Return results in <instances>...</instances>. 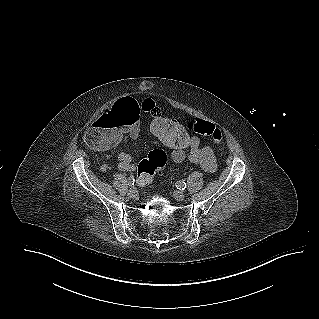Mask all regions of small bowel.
Here are the masks:
<instances>
[{
    "mask_svg": "<svg viewBox=\"0 0 319 319\" xmlns=\"http://www.w3.org/2000/svg\"><path fill=\"white\" fill-rule=\"evenodd\" d=\"M140 111L149 114L150 117L156 113H162L160 105L151 99H146L142 103L132 97L113 101V108H107L106 112L92 118V124L86 131L88 146L96 152H107L129 138L135 140L140 132L138 127L140 126ZM175 122L180 124L177 121ZM180 125L182 126V124ZM191 135L200 134L196 132L191 133ZM166 147L171 150V159L174 163H181L187 157L207 173H214L217 169V160L213 149L209 146H201V142L195 150L189 151L188 154L179 152L169 146ZM118 160L121 171L131 172L135 170V165L126 152L119 151Z\"/></svg>",
    "mask_w": 319,
    "mask_h": 319,
    "instance_id": "1",
    "label": "small bowel"
}]
</instances>
